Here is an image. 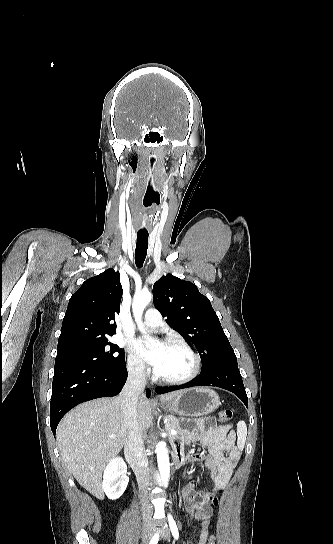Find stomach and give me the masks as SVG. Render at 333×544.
Segmentation results:
<instances>
[{"instance_id": "0dacf381", "label": "stomach", "mask_w": 333, "mask_h": 544, "mask_svg": "<svg viewBox=\"0 0 333 544\" xmlns=\"http://www.w3.org/2000/svg\"><path fill=\"white\" fill-rule=\"evenodd\" d=\"M220 405L218 394L205 387L182 391L168 406V410L183 416L198 417L215 411Z\"/></svg>"}]
</instances>
